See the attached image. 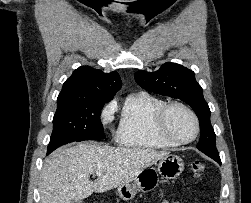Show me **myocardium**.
<instances>
[{
	"label": "myocardium",
	"mask_w": 251,
	"mask_h": 203,
	"mask_svg": "<svg viewBox=\"0 0 251 203\" xmlns=\"http://www.w3.org/2000/svg\"><path fill=\"white\" fill-rule=\"evenodd\" d=\"M174 107H180L184 109L185 111H187L194 121V125H195L194 133L188 139H184V140L176 139L173 136H171L167 131V128H166L167 116L170 110ZM153 130H154V133L159 138H161L163 141L167 143H170L172 145H186V144L192 143L197 138L200 132V121L197 114L190 106H188L187 104L183 102L172 101L169 103H165L155 113L154 120H153Z\"/></svg>",
	"instance_id": "obj_1"
}]
</instances>
